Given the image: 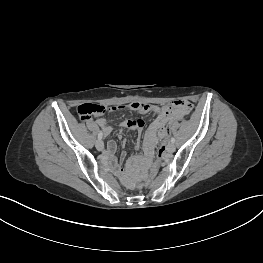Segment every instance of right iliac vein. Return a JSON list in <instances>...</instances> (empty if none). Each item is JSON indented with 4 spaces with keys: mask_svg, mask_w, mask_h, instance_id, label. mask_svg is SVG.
Listing matches in <instances>:
<instances>
[{
    "mask_svg": "<svg viewBox=\"0 0 263 263\" xmlns=\"http://www.w3.org/2000/svg\"><path fill=\"white\" fill-rule=\"evenodd\" d=\"M97 150L102 151L104 149V143L101 139H98L95 143Z\"/></svg>",
    "mask_w": 263,
    "mask_h": 263,
    "instance_id": "63e3f726",
    "label": "right iliac vein"
}]
</instances>
